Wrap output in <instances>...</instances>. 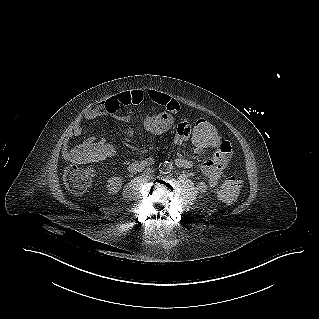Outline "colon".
<instances>
[{"label":"colon","mask_w":319,"mask_h":319,"mask_svg":"<svg viewBox=\"0 0 319 319\" xmlns=\"http://www.w3.org/2000/svg\"><path fill=\"white\" fill-rule=\"evenodd\" d=\"M172 119L163 111H154L146 119L140 120L136 126L125 124L120 131L121 137L128 142L134 141L138 136L146 139L150 136L163 138L172 130ZM191 141L205 152L219 151L218 141L225 139L223 130L208 120H197L191 124ZM177 132V130H176ZM229 143V142H228ZM230 145V143H229ZM231 148V145H230ZM221 152V151H220ZM125 155V146L117 138H108L100 146H87L80 144L69 150L67 156L74 164L68 166L63 173V181L69 192L72 194L84 193L93 176L92 168L87 166L102 159L108 163H117ZM242 187V180L238 177H230L218 189V196L225 204L233 203Z\"/></svg>","instance_id":"1"}]
</instances>
